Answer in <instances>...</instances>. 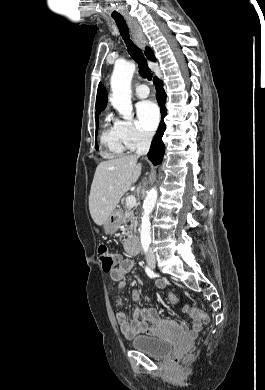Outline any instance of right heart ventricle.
Returning <instances> with one entry per match:
<instances>
[{
	"mask_svg": "<svg viewBox=\"0 0 265 390\" xmlns=\"http://www.w3.org/2000/svg\"><path fill=\"white\" fill-rule=\"evenodd\" d=\"M102 154L107 158L121 156L127 149L122 140L117 121L111 115L104 119V126L101 133Z\"/></svg>",
	"mask_w": 265,
	"mask_h": 390,
	"instance_id": "e07e8e85",
	"label": "right heart ventricle"
}]
</instances>
